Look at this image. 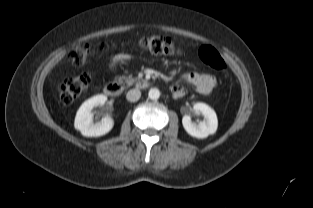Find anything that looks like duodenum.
Listing matches in <instances>:
<instances>
[{
  "mask_svg": "<svg viewBox=\"0 0 313 208\" xmlns=\"http://www.w3.org/2000/svg\"><path fill=\"white\" fill-rule=\"evenodd\" d=\"M134 86L137 89H145L146 87H148V82L145 80H138L134 83ZM123 90H124V85L117 81L109 82L104 86L105 94L111 97L120 96Z\"/></svg>",
  "mask_w": 313,
  "mask_h": 208,
  "instance_id": "obj_1",
  "label": "duodenum"
}]
</instances>
